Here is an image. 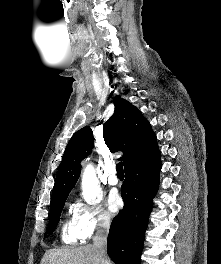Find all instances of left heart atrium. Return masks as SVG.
I'll list each match as a JSON object with an SVG mask.
<instances>
[{
  "label": "left heart atrium",
  "instance_id": "obj_1",
  "mask_svg": "<svg viewBox=\"0 0 221 264\" xmlns=\"http://www.w3.org/2000/svg\"><path fill=\"white\" fill-rule=\"evenodd\" d=\"M107 204L110 212L116 213L122 207L123 202L120 195L116 191H113L108 196Z\"/></svg>",
  "mask_w": 221,
  "mask_h": 264
}]
</instances>
